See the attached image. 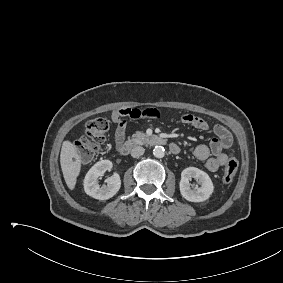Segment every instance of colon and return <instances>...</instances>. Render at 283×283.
I'll return each instance as SVG.
<instances>
[{"mask_svg":"<svg viewBox=\"0 0 283 283\" xmlns=\"http://www.w3.org/2000/svg\"><path fill=\"white\" fill-rule=\"evenodd\" d=\"M108 130L109 122L105 118L91 119L86 123L84 134L76 142L79 156L83 161L90 160L102 147L105 143ZM238 167V160L235 157H230L224 167L222 181L224 183H230Z\"/></svg>","mask_w":283,"mask_h":283,"instance_id":"colon-1","label":"colon"}]
</instances>
